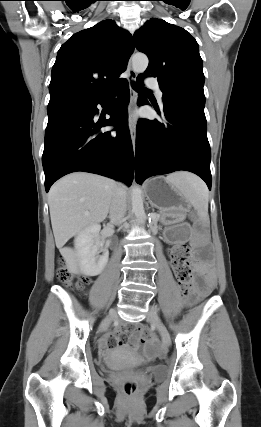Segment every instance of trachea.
<instances>
[{"label": "trachea", "instance_id": "obj_1", "mask_svg": "<svg viewBox=\"0 0 261 427\" xmlns=\"http://www.w3.org/2000/svg\"><path fill=\"white\" fill-rule=\"evenodd\" d=\"M132 87L138 92H150L148 89L140 87L139 85H137L134 82L132 83Z\"/></svg>", "mask_w": 261, "mask_h": 427}]
</instances>
